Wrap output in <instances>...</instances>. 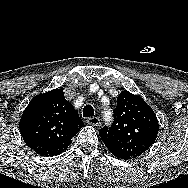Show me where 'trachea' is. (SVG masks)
<instances>
[{
    "instance_id": "trachea-1",
    "label": "trachea",
    "mask_w": 188,
    "mask_h": 188,
    "mask_svg": "<svg viewBox=\"0 0 188 188\" xmlns=\"http://www.w3.org/2000/svg\"><path fill=\"white\" fill-rule=\"evenodd\" d=\"M94 116V109L91 105H86L83 108V117H92Z\"/></svg>"
}]
</instances>
